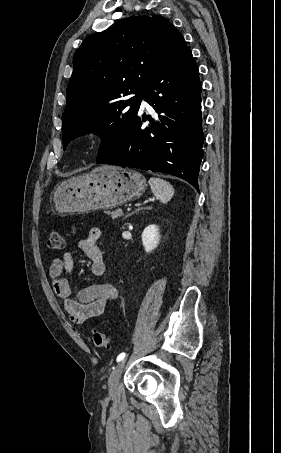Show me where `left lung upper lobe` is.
<instances>
[{
    "mask_svg": "<svg viewBox=\"0 0 281 453\" xmlns=\"http://www.w3.org/2000/svg\"><path fill=\"white\" fill-rule=\"evenodd\" d=\"M176 35L180 33L164 17L154 15L130 16L86 38L73 58L62 114L63 145L96 132L103 141L97 160L105 155L136 118ZM129 94L135 96L124 100Z\"/></svg>",
    "mask_w": 281,
    "mask_h": 453,
    "instance_id": "obj_1",
    "label": "left lung upper lobe"
}]
</instances>
